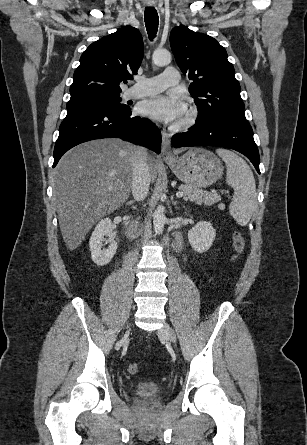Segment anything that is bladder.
Masks as SVG:
<instances>
[{"mask_svg":"<svg viewBox=\"0 0 307 445\" xmlns=\"http://www.w3.org/2000/svg\"><path fill=\"white\" fill-rule=\"evenodd\" d=\"M134 391L141 397H155L161 393V386L155 381H143L135 386Z\"/></svg>","mask_w":307,"mask_h":445,"instance_id":"1","label":"bladder"}]
</instances>
